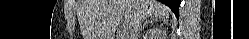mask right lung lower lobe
Segmentation results:
<instances>
[{
	"mask_svg": "<svg viewBox=\"0 0 249 39\" xmlns=\"http://www.w3.org/2000/svg\"><path fill=\"white\" fill-rule=\"evenodd\" d=\"M163 4L167 5L178 17L180 0H160Z\"/></svg>",
	"mask_w": 249,
	"mask_h": 39,
	"instance_id": "98d812e1",
	"label": "right lung lower lobe"
}]
</instances>
